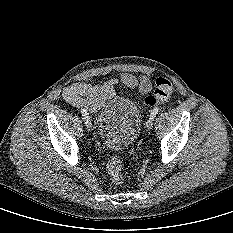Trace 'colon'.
Listing matches in <instances>:
<instances>
[{
	"instance_id": "colon-1",
	"label": "colon",
	"mask_w": 233,
	"mask_h": 233,
	"mask_svg": "<svg viewBox=\"0 0 233 233\" xmlns=\"http://www.w3.org/2000/svg\"><path fill=\"white\" fill-rule=\"evenodd\" d=\"M173 88V84L170 80L162 77L158 78L156 80V88L154 93L145 99V103L149 106L165 103L171 97ZM107 170L111 180L115 184H122L124 182L122 164L119 157L114 156L109 160Z\"/></svg>"
}]
</instances>
